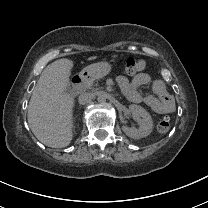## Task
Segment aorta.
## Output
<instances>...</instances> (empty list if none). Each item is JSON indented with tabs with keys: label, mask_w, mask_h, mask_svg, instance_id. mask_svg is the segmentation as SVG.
I'll return each mask as SVG.
<instances>
[{
	"label": "aorta",
	"mask_w": 208,
	"mask_h": 208,
	"mask_svg": "<svg viewBox=\"0 0 208 208\" xmlns=\"http://www.w3.org/2000/svg\"><path fill=\"white\" fill-rule=\"evenodd\" d=\"M105 100H106V97L104 95H101V96L98 97V102L99 103H104Z\"/></svg>",
	"instance_id": "762f6f07"
}]
</instances>
